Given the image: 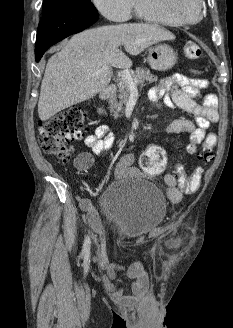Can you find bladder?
I'll return each instance as SVG.
<instances>
[{
	"label": "bladder",
	"instance_id": "31cf9c89",
	"mask_svg": "<svg viewBox=\"0 0 233 328\" xmlns=\"http://www.w3.org/2000/svg\"><path fill=\"white\" fill-rule=\"evenodd\" d=\"M99 204L109 224L126 239L148 234L167 214V201L162 191L142 179L110 184L100 195Z\"/></svg>",
	"mask_w": 233,
	"mask_h": 328
}]
</instances>
